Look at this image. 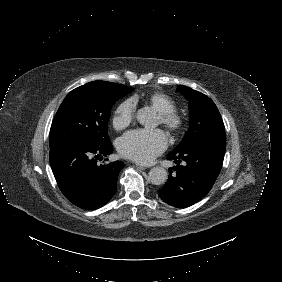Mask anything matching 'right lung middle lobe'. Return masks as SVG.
Here are the masks:
<instances>
[{
  "instance_id": "right-lung-middle-lobe-1",
  "label": "right lung middle lobe",
  "mask_w": 282,
  "mask_h": 282,
  "mask_svg": "<svg viewBox=\"0 0 282 282\" xmlns=\"http://www.w3.org/2000/svg\"><path fill=\"white\" fill-rule=\"evenodd\" d=\"M134 89L107 81H93L72 90L60 105L50 130V148L67 141L109 142L112 105Z\"/></svg>"
}]
</instances>
